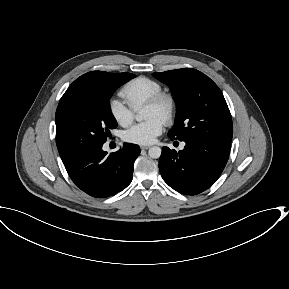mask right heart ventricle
<instances>
[{"mask_svg":"<svg viewBox=\"0 0 289 289\" xmlns=\"http://www.w3.org/2000/svg\"><path fill=\"white\" fill-rule=\"evenodd\" d=\"M161 91L162 86L158 81L148 77H137L129 81L120 94L133 110H138Z\"/></svg>","mask_w":289,"mask_h":289,"instance_id":"e07e8e85","label":"right heart ventricle"}]
</instances>
